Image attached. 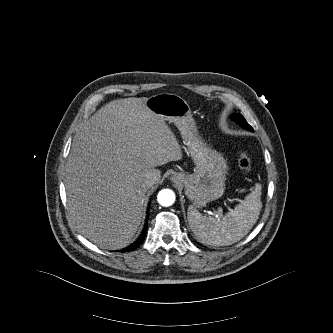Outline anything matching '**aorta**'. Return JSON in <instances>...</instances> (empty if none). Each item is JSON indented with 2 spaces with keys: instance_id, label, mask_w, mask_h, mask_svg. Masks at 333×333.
<instances>
[{
  "instance_id": "762f6f07",
  "label": "aorta",
  "mask_w": 333,
  "mask_h": 333,
  "mask_svg": "<svg viewBox=\"0 0 333 333\" xmlns=\"http://www.w3.org/2000/svg\"><path fill=\"white\" fill-rule=\"evenodd\" d=\"M157 201L164 207L171 206L175 201V193L170 189H163L158 193Z\"/></svg>"
}]
</instances>
